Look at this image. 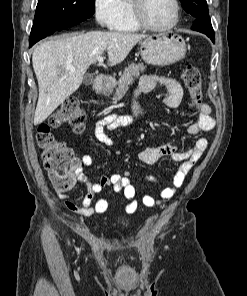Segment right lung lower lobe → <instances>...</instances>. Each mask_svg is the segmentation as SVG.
I'll return each instance as SVG.
<instances>
[{"instance_id": "1", "label": "right lung lower lobe", "mask_w": 247, "mask_h": 296, "mask_svg": "<svg viewBox=\"0 0 247 296\" xmlns=\"http://www.w3.org/2000/svg\"><path fill=\"white\" fill-rule=\"evenodd\" d=\"M55 31H57V30H55V29H50L49 30V32L45 35V37L46 36H48V35H51L53 32H55ZM42 38H44V37H41V38H31L30 37V39H29V46L31 47L32 45H34L37 41H39L40 39H42Z\"/></svg>"}]
</instances>
